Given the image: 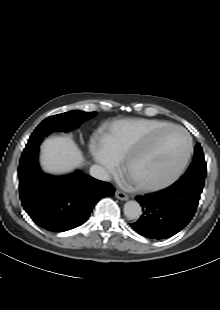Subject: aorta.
Returning <instances> with one entry per match:
<instances>
[{"mask_svg": "<svg viewBox=\"0 0 220 310\" xmlns=\"http://www.w3.org/2000/svg\"><path fill=\"white\" fill-rule=\"evenodd\" d=\"M124 215L130 219H138L142 213L141 206L137 201H128L124 205Z\"/></svg>", "mask_w": 220, "mask_h": 310, "instance_id": "1", "label": "aorta"}]
</instances>
